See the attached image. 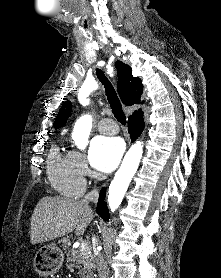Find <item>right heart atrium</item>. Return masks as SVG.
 <instances>
[{"label":"right heart atrium","instance_id":"d8ad5b80","mask_svg":"<svg viewBox=\"0 0 221 278\" xmlns=\"http://www.w3.org/2000/svg\"><path fill=\"white\" fill-rule=\"evenodd\" d=\"M71 158L75 165L77 172L84 179L90 175V169L84 155L78 150L70 151Z\"/></svg>","mask_w":221,"mask_h":278}]
</instances>
